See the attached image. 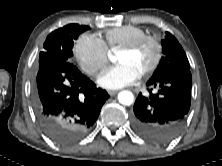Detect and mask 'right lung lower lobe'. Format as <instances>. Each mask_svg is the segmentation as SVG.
I'll use <instances>...</instances> for the list:
<instances>
[{"mask_svg":"<svg viewBox=\"0 0 222 166\" xmlns=\"http://www.w3.org/2000/svg\"><path fill=\"white\" fill-rule=\"evenodd\" d=\"M109 98L70 62L39 68L32 92L33 108L44 133L60 144L82 138Z\"/></svg>","mask_w":222,"mask_h":166,"instance_id":"98d812e1","label":"right lung lower lobe"}]
</instances>
